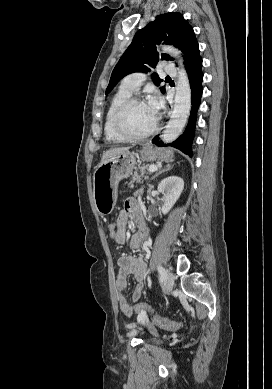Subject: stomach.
Returning a JSON list of instances; mask_svg holds the SVG:
<instances>
[{
  "label": "stomach",
  "instance_id": "obj_1",
  "mask_svg": "<svg viewBox=\"0 0 272 389\" xmlns=\"http://www.w3.org/2000/svg\"><path fill=\"white\" fill-rule=\"evenodd\" d=\"M139 157L145 161H169L173 158V151L146 144L139 154L125 151L100 163L93 176V198L96 210L101 216L113 211L118 197V184L136 169V158Z\"/></svg>",
  "mask_w": 272,
  "mask_h": 389
}]
</instances>
